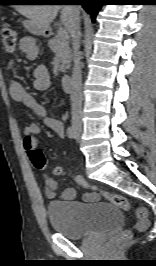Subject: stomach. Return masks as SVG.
<instances>
[{
	"mask_svg": "<svg viewBox=\"0 0 156 266\" xmlns=\"http://www.w3.org/2000/svg\"><path fill=\"white\" fill-rule=\"evenodd\" d=\"M24 26L27 28V30L29 32H31L32 34H36V35H42L45 33L46 29L39 27L37 25H35L32 21L28 20V21H24L23 22Z\"/></svg>",
	"mask_w": 156,
	"mask_h": 266,
	"instance_id": "1",
	"label": "stomach"
}]
</instances>
